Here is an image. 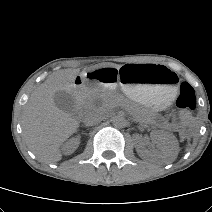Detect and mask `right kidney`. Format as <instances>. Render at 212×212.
<instances>
[{"mask_svg":"<svg viewBox=\"0 0 212 212\" xmlns=\"http://www.w3.org/2000/svg\"><path fill=\"white\" fill-rule=\"evenodd\" d=\"M80 144V137L76 136L71 138L68 142L63 145V152L66 155L72 154Z\"/></svg>","mask_w":212,"mask_h":212,"instance_id":"right-kidney-1","label":"right kidney"}]
</instances>
